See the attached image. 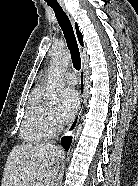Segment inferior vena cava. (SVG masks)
I'll return each instance as SVG.
<instances>
[{
    "instance_id": "obj_1",
    "label": "inferior vena cava",
    "mask_w": 138,
    "mask_h": 186,
    "mask_svg": "<svg viewBox=\"0 0 138 186\" xmlns=\"http://www.w3.org/2000/svg\"><path fill=\"white\" fill-rule=\"evenodd\" d=\"M58 129H59V131L60 130H62L63 129V127L62 126H59L58 127ZM53 141H51L50 143H48L49 145H53ZM56 173H57V168L55 167V168H53L52 169V171H51V173L47 176V178H46V183H47V185L46 186H54V178H55V176H56Z\"/></svg>"
}]
</instances>
